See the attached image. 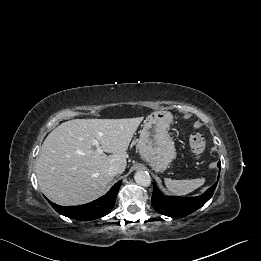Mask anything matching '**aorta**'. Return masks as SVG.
I'll list each match as a JSON object with an SVG mask.
<instances>
[{"instance_id": "762f6f07", "label": "aorta", "mask_w": 261, "mask_h": 261, "mask_svg": "<svg viewBox=\"0 0 261 261\" xmlns=\"http://www.w3.org/2000/svg\"><path fill=\"white\" fill-rule=\"evenodd\" d=\"M134 180L138 185L148 187L151 184V176L146 171H138L135 173Z\"/></svg>"}]
</instances>
